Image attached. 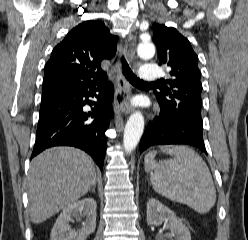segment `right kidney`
I'll use <instances>...</instances> for the list:
<instances>
[{
  "label": "right kidney",
  "mask_w": 248,
  "mask_h": 240,
  "mask_svg": "<svg viewBox=\"0 0 248 240\" xmlns=\"http://www.w3.org/2000/svg\"><path fill=\"white\" fill-rule=\"evenodd\" d=\"M96 208L93 198L75 201L65 207L53 226L50 240H86L96 228ZM79 214L86 217L82 228L71 229L69 223Z\"/></svg>",
  "instance_id": "right-kidney-1"
}]
</instances>
